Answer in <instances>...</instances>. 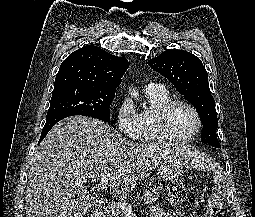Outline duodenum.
<instances>
[{
  "instance_id": "obj_1",
  "label": "duodenum",
  "mask_w": 255,
  "mask_h": 217,
  "mask_svg": "<svg viewBox=\"0 0 255 217\" xmlns=\"http://www.w3.org/2000/svg\"><path fill=\"white\" fill-rule=\"evenodd\" d=\"M90 217H104V212L103 210H97L93 212Z\"/></svg>"
}]
</instances>
